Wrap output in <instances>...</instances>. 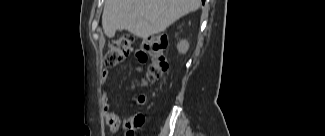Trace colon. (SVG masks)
Instances as JSON below:
<instances>
[{
	"label": "colon",
	"mask_w": 325,
	"mask_h": 136,
	"mask_svg": "<svg viewBox=\"0 0 325 136\" xmlns=\"http://www.w3.org/2000/svg\"><path fill=\"white\" fill-rule=\"evenodd\" d=\"M133 42L134 39L129 34L122 35L112 41L104 55V64L112 67L125 60L133 51ZM142 48L151 59L146 80L152 82L161 78L168 68L165 56L167 37L161 34L151 36L143 41ZM127 136H133V131L129 130Z\"/></svg>",
	"instance_id": "colon-1"
}]
</instances>
